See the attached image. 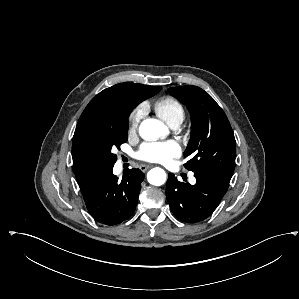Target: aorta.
Returning <instances> with one entry per match:
<instances>
[{
    "label": "aorta",
    "mask_w": 299,
    "mask_h": 299,
    "mask_svg": "<svg viewBox=\"0 0 299 299\" xmlns=\"http://www.w3.org/2000/svg\"><path fill=\"white\" fill-rule=\"evenodd\" d=\"M139 134L144 140H157L168 134V128L160 120L149 118L141 122ZM147 180L154 186H161L166 182V173L159 167L153 168L148 172Z\"/></svg>",
    "instance_id": "aorta-1"
}]
</instances>
